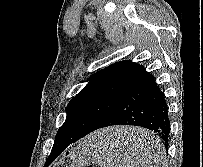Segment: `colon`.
I'll list each match as a JSON object with an SVG mask.
<instances>
[{
    "mask_svg": "<svg viewBox=\"0 0 203 167\" xmlns=\"http://www.w3.org/2000/svg\"><path fill=\"white\" fill-rule=\"evenodd\" d=\"M55 167H96L92 162L78 156L74 152H67Z\"/></svg>",
    "mask_w": 203,
    "mask_h": 167,
    "instance_id": "obj_1",
    "label": "colon"
}]
</instances>
